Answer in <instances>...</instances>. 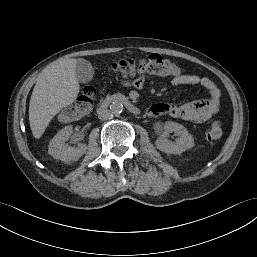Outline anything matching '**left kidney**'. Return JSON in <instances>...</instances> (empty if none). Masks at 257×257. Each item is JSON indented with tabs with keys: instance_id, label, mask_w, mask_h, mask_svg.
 Masks as SVG:
<instances>
[{
	"instance_id": "left-kidney-1",
	"label": "left kidney",
	"mask_w": 257,
	"mask_h": 257,
	"mask_svg": "<svg viewBox=\"0 0 257 257\" xmlns=\"http://www.w3.org/2000/svg\"><path fill=\"white\" fill-rule=\"evenodd\" d=\"M171 132H175L178 135L175 142L167 138ZM156 146L167 154H180L194 146V139L183 125L168 121L164 124V131L158 137Z\"/></svg>"
}]
</instances>
